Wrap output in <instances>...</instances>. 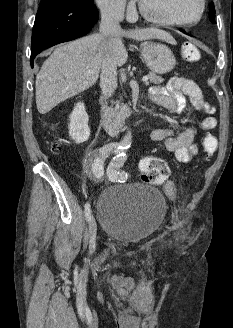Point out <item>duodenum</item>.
<instances>
[{"mask_svg": "<svg viewBox=\"0 0 233 328\" xmlns=\"http://www.w3.org/2000/svg\"><path fill=\"white\" fill-rule=\"evenodd\" d=\"M132 112V105H126L122 111L121 116L115 117L106 106L105 97L99 100V114L100 120L104 128L112 134H118L121 130L125 118Z\"/></svg>", "mask_w": 233, "mask_h": 328, "instance_id": "410a0bca", "label": "duodenum"}]
</instances>
